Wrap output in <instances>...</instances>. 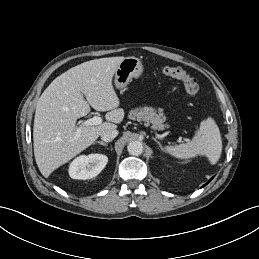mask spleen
<instances>
[{
    "instance_id": "1",
    "label": "spleen",
    "mask_w": 259,
    "mask_h": 259,
    "mask_svg": "<svg viewBox=\"0 0 259 259\" xmlns=\"http://www.w3.org/2000/svg\"><path fill=\"white\" fill-rule=\"evenodd\" d=\"M165 150L179 159L205 155L211 164H215L222 152L219 129L214 120L207 118L201 123L199 131L191 141L176 146H167Z\"/></svg>"
}]
</instances>
